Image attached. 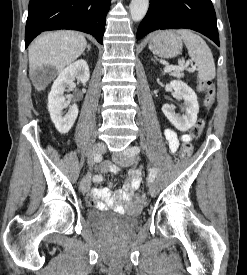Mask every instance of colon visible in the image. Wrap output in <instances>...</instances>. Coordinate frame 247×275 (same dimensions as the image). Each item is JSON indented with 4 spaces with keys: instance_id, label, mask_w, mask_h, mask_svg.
Wrapping results in <instances>:
<instances>
[{
    "instance_id": "obj_1",
    "label": "colon",
    "mask_w": 247,
    "mask_h": 275,
    "mask_svg": "<svg viewBox=\"0 0 247 275\" xmlns=\"http://www.w3.org/2000/svg\"><path fill=\"white\" fill-rule=\"evenodd\" d=\"M198 89L205 94V100H204L205 107L208 109L211 108L215 100V90L212 83L207 80H200L198 83ZM204 127H205V122L204 120L200 119L191 128L190 134L193 137H198L203 132ZM192 151H193V148L191 143L185 142L182 145L176 157V161L187 160L191 156ZM136 202L140 207H143L146 204L145 194L138 193L136 195Z\"/></svg>"
}]
</instances>
